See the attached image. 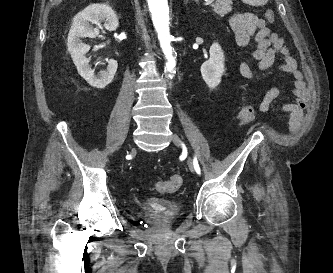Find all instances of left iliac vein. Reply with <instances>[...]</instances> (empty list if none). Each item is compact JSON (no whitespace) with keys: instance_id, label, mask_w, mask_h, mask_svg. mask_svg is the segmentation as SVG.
I'll use <instances>...</instances> for the list:
<instances>
[{"instance_id":"left-iliac-vein-1","label":"left iliac vein","mask_w":333,"mask_h":273,"mask_svg":"<svg viewBox=\"0 0 333 273\" xmlns=\"http://www.w3.org/2000/svg\"><path fill=\"white\" fill-rule=\"evenodd\" d=\"M171 139L173 141V143L177 146H182V141L180 139V137L176 134V133H173L171 135ZM187 164H188V167L191 171H194V165H193V161L190 157L187 158Z\"/></svg>"}]
</instances>
